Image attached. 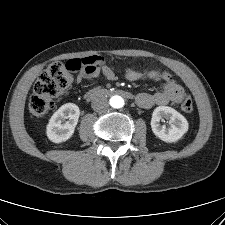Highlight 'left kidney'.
Listing matches in <instances>:
<instances>
[{"mask_svg":"<svg viewBox=\"0 0 225 225\" xmlns=\"http://www.w3.org/2000/svg\"><path fill=\"white\" fill-rule=\"evenodd\" d=\"M169 119V127L161 125L160 121ZM188 121L175 109L168 106L157 107L152 114L151 128L153 133L162 141L176 142L188 131Z\"/></svg>","mask_w":225,"mask_h":225,"instance_id":"obj_1","label":"left kidney"}]
</instances>
